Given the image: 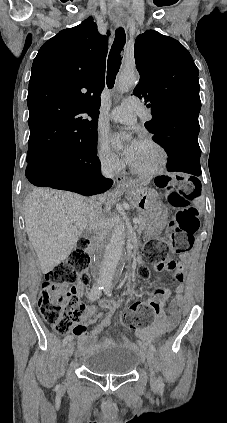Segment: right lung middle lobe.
<instances>
[{
  "mask_svg": "<svg viewBox=\"0 0 227 423\" xmlns=\"http://www.w3.org/2000/svg\"><path fill=\"white\" fill-rule=\"evenodd\" d=\"M52 151L61 156H68V157L80 156L86 153L96 152L97 151V133H93L83 138L81 141L77 143H74L72 145H69L61 149L52 150ZM43 154L44 153L27 155L26 161L27 163L35 161L41 158Z\"/></svg>",
  "mask_w": 227,
  "mask_h": 423,
  "instance_id": "obj_1",
  "label": "right lung middle lobe"
}]
</instances>
